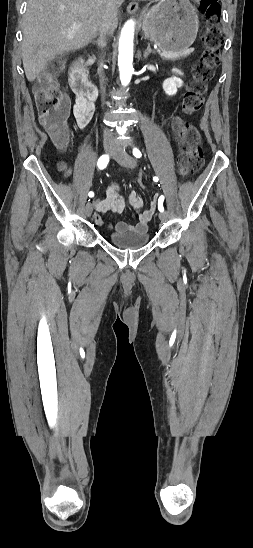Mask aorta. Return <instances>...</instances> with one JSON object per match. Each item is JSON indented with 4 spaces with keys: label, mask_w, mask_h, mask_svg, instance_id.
I'll return each mask as SVG.
<instances>
[{
    "label": "aorta",
    "mask_w": 253,
    "mask_h": 548,
    "mask_svg": "<svg viewBox=\"0 0 253 548\" xmlns=\"http://www.w3.org/2000/svg\"><path fill=\"white\" fill-rule=\"evenodd\" d=\"M133 20H129L122 28L119 39V54L118 66L120 72V80L122 85L126 86L130 83L133 74V39H134Z\"/></svg>",
    "instance_id": "1"
}]
</instances>
